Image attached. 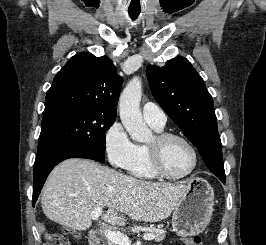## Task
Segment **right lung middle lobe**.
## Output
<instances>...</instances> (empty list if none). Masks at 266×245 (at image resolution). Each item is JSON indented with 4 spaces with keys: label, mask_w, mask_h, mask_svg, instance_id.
Segmentation results:
<instances>
[{
    "label": "right lung middle lobe",
    "mask_w": 266,
    "mask_h": 245,
    "mask_svg": "<svg viewBox=\"0 0 266 245\" xmlns=\"http://www.w3.org/2000/svg\"><path fill=\"white\" fill-rule=\"evenodd\" d=\"M116 114L94 108L60 111L42 120L38 153L57 146L87 150L105 159V132L115 122Z\"/></svg>",
    "instance_id": "right-lung-middle-lobe-1"
}]
</instances>
